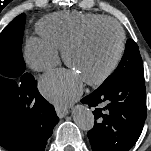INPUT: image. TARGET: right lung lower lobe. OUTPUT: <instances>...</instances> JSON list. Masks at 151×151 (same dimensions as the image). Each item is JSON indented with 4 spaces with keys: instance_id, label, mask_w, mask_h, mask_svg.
Masks as SVG:
<instances>
[{
    "instance_id": "obj_1",
    "label": "right lung lower lobe",
    "mask_w": 151,
    "mask_h": 151,
    "mask_svg": "<svg viewBox=\"0 0 151 151\" xmlns=\"http://www.w3.org/2000/svg\"><path fill=\"white\" fill-rule=\"evenodd\" d=\"M18 80L19 84L0 74V101L6 105L11 124L8 134L0 137V145L7 151H44L59 118L30 73Z\"/></svg>"
}]
</instances>
